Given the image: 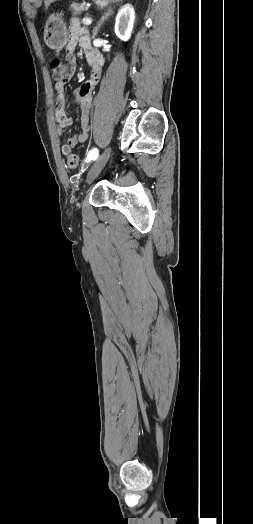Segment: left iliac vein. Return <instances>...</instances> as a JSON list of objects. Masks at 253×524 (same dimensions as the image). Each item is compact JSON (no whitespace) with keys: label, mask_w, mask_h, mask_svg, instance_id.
<instances>
[{"label":"left iliac vein","mask_w":253,"mask_h":524,"mask_svg":"<svg viewBox=\"0 0 253 524\" xmlns=\"http://www.w3.org/2000/svg\"><path fill=\"white\" fill-rule=\"evenodd\" d=\"M110 153H111V148L110 147L106 148L99 155V157L96 159V161L93 163V165L91 166V168H90V170H89V172L87 174V182L88 183H91L98 176V174L101 172V170L103 169V167L105 166L107 160L110 157Z\"/></svg>","instance_id":"4c4485c4"}]
</instances>
